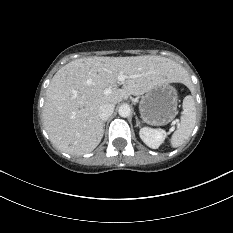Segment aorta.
<instances>
[{
	"instance_id": "762f6f07",
	"label": "aorta",
	"mask_w": 233,
	"mask_h": 233,
	"mask_svg": "<svg viewBox=\"0 0 233 233\" xmlns=\"http://www.w3.org/2000/svg\"><path fill=\"white\" fill-rule=\"evenodd\" d=\"M118 113L121 117L126 118L130 115L131 109L130 106L127 104H123L119 107Z\"/></svg>"
}]
</instances>
